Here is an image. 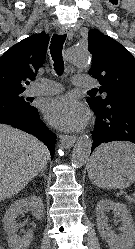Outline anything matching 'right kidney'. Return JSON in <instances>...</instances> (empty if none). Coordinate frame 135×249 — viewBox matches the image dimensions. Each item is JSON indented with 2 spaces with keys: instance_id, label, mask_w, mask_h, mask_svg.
Wrapping results in <instances>:
<instances>
[{
  "instance_id": "ca27d5eb",
  "label": "right kidney",
  "mask_w": 135,
  "mask_h": 249,
  "mask_svg": "<svg viewBox=\"0 0 135 249\" xmlns=\"http://www.w3.org/2000/svg\"><path fill=\"white\" fill-rule=\"evenodd\" d=\"M25 211H31L37 220H41L44 217V205L41 198L31 196L17 200L6 211L2 221L10 249H27L32 240L33 234L31 231L26 232L23 236L17 235L16 218Z\"/></svg>"
}]
</instances>
